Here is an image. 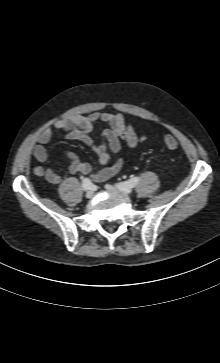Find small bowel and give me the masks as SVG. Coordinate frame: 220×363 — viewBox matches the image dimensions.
I'll use <instances>...</instances> for the list:
<instances>
[{
  "mask_svg": "<svg viewBox=\"0 0 220 363\" xmlns=\"http://www.w3.org/2000/svg\"><path fill=\"white\" fill-rule=\"evenodd\" d=\"M101 122L107 123L109 127L101 133L100 141L96 143L92 137V132L94 126ZM58 130L65 131L68 139L81 141L91 147L103 165L109 161L110 152L118 153L120 151L123 142L130 148H136L145 139L144 136L137 135L133 131L129 122L121 114L96 111L89 115H74L57 121L38 136L37 144L33 149V156L38 162L44 163L47 160L48 154L44 145L50 142L53 134ZM64 155L70 161L69 171L71 174H87L97 183L108 180L123 165V160L118 158L112 165L104 166L99 171L94 172L92 165L82 162L75 152L65 150ZM33 172L52 184H58L61 181V177L50 168L36 166Z\"/></svg>",
  "mask_w": 220,
  "mask_h": 363,
  "instance_id": "c3829d8e",
  "label": "small bowel"
}]
</instances>
